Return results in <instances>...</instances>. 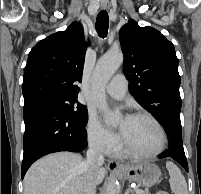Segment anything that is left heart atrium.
<instances>
[{
	"label": "left heart atrium",
	"mask_w": 201,
	"mask_h": 194,
	"mask_svg": "<svg viewBox=\"0 0 201 194\" xmlns=\"http://www.w3.org/2000/svg\"><path fill=\"white\" fill-rule=\"evenodd\" d=\"M130 118H131L130 116H126L124 120L127 121V120H129ZM120 130H121V133H123V130H122V129H120Z\"/></svg>",
	"instance_id": "obj_1"
}]
</instances>
